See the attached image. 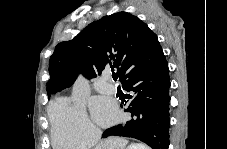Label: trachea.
<instances>
[{
	"instance_id": "3493384b",
	"label": "trachea",
	"mask_w": 227,
	"mask_h": 149,
	"mask_svg": "<svg viewBox=\"0 0 227 149\" xmlns=\"http://www.w3.org/2000/svg\"><path fill=\"white\" fill-rule=\"evenodd\" d=\"M112 78H113L114 81H117V79H118V74L113 73V74H112Z\"/></svg>"
}]
</instances>
